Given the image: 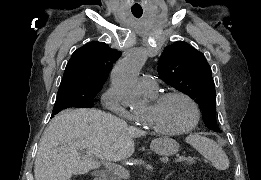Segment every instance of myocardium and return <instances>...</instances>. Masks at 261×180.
<instances>
[{
    "mask_svg": "<svg viewBox=\"0 0 261 180\" xmlns=\"http://www.w3.org/2000/svg\"><path fill=\"white\" fill-rule=\"evenodd\" d=\"M179 96L187 100L193 108L194 116L190 125L183 131L169 135H158L148 124L142 122L136 118V123L144 135L148 138L162 137L165 139H182L191 133L198 125L201 118V109L198 102L188 93L181 90H170L163 93H154L153 95H147L150 106H159L163 101L170 97Z\"/></svg>",
    "mask_w": 261,
    "mask_h": 180,
    "instance_id": "obj_1",
    "label": "myocardium"
}]
</instances>
